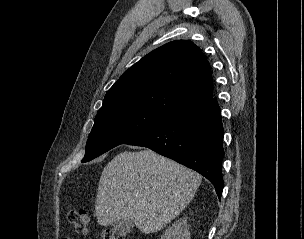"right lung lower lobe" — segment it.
Listing matches in <instances>:
<instances>
[{
	"label": "right lung lower lobe",
	"instance_id": "1",
	"mask_svg": "<svg viewBox=\"0 0 304 239\" xmlns=\"http://www.w3.org/2000/svg\"><path fill=\"white\" fill-rule=\"evenodd\" d=\"M125 144L148 147L189 167L223 191V125L216 98L189 108Z\"/></svg>",
	"mask_w": 304,
	"mask_h": 239
}]
</instances>
